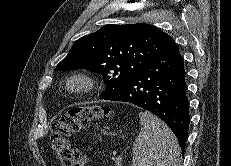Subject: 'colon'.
<instances>
[{"label": "colon", "instance_id": "obj_1", "mask_svg": "<svg viewBox=\"0 0 231 166\" xmlns=\"http://www.w3.org/2000/svg\"><path fill=\"white\" fill-rule=\"evenodd\" d=\"M112 117L108 106L91 105L69 109L53 125L52 150L62 166H85L87 158L71 145L69 137L79 129L87 128L92 121L107 120Z\"/></svg>", "mask_w": 231, "mask_h": 166}]
</instances>
